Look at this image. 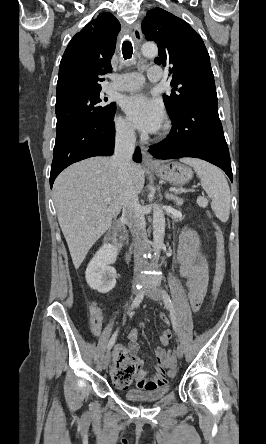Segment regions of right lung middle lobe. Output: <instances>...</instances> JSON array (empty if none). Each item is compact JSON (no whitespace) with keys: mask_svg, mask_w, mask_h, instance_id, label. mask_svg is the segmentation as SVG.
Segmentation results:
<instances>
[{"mask_svg":"<svg viewBox=\"0 0 266 444\" xmlns=\"http://www.w3.org/2000/svg\"><path fill=\"white\" fill-rule=\"evenodd\" d=\"M107 100L101 89L71 92L56 98V140L75 129L112 119L116 104H106Z\"/></svg>","mask_w":266,"mask_h":444,"instance_id":"right-lung-middle-lobe-1","label":"right lung middle lobe"}]
</instances>
